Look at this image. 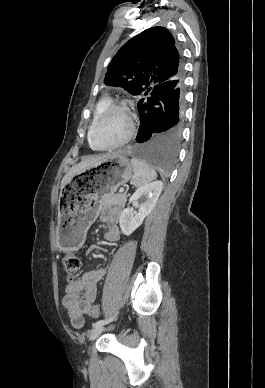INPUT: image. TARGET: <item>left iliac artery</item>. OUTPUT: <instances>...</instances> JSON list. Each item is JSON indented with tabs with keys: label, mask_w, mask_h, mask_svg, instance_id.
I'll list each match as a JSON object with an SVG mask.
<instances>
[{
	"label": "left iliac artery",
	"mask_w": 265,
	"mask_h": 388,
	"mask_svg": "<svg viewBox=\"0 0 265 388\" xmlns=\"http://www.w3.org/2000/svg\"><path fill=\"white\" fill-rule=\"evenodd\" d=\"M117 314H118V313H116L115 315H113V316L110 317V318H107V319H104V320H99V321L93 323V324H92V327L95 328V327H97V326L105 325V324H107V323L113 321V320L117 317Z\"/></svg>",
	"instance_id": "1"
}]
</instances>
